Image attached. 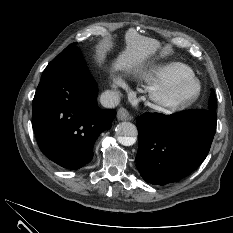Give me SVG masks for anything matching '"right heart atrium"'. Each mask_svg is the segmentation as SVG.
I'll list each match as a JSON object with an SVG mask.
<instances>
[{"label": "right heart atrium", "instance_id": "right-heart-atrium-1", "mask_svg": "<svg viewBox=\"0 0 233 233\" xmlns=\"http://www.w3.org/2000/svg\"><path fill=\"white\" fill-rule=\"evenodd\" d=\"M113 86H114L115 88H117V87H125V83H124V81H123L122 79H120V78H115V79L113 80Z\"/></svg>", "mask_w": 233, "mask_h": 233}]
</instances>
